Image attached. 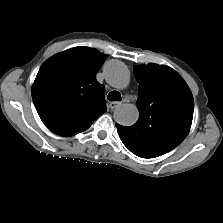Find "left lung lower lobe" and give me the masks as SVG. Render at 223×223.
<instances>
[{"label": "left lung lower lobe", "instance_id": "left-lung-lower-lobe-1", "mask_svg": "<svg viewBox=\"0 0 223 223\" xmlns=\"http://www.w3.org/2000/svg\"><path fill=\"white\" fill-rule=\"evenodd\" d=\"M135 155L139 156V157H142V158H150L149 156L145 155V154H140V153H135Z\"/></svg>", "mask_w": 223, "mask_h": 223}]
</instances>
